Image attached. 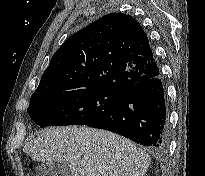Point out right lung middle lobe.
<instances>
[{
  "label": "right lung middle lobe",
  "mask_w": 205,
  "mask_h": 176,
  "mask_svg": "<svg viewBox=\"0 0 205 176\" xmlns=\"http://www.w3.org/2000/svg\"><path fill=\"white\" fill-rule=\"evenodd\" d=\"M122 95L108 88L67 90L32 96L27 109L41 128L88 125L102 116Z\"/></svg>",
  "instance_id": "right-lung-middle-lobe-1"
}]
</instances>
